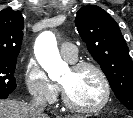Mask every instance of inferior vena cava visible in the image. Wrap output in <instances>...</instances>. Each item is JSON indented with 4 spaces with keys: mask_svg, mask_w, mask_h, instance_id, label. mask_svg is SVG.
Segmentation results:
<instances>
[{
    "mask_svg": "<svg viewBox=\"0 0 133 118\" xmlns=\"http://www.w3.org/2000/svg\"><path fill=\"white\" fill-rule=\"evenodd\" d=\"M30 110L33 114L34 118H44L46 114H44V110L46 108V101L43 98H34L30 104Z\"/></svg>",
    "mask_w": 133,
    "mask_h": 118,
    "instance_id": "602c4592",
    "label": "inferior vena cava"
}]
</instances>
